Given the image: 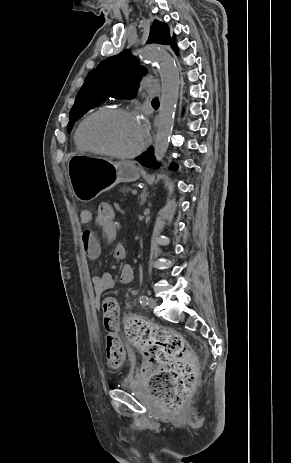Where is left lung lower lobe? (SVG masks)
Here are the masks:
<instances>
[{
	"mask_svg": "<svg viewBox=\"0 0 291 463\" xmlns=\"http://www.w3.org/2000/svg\"><path fill=\"white\" fill-rule=\"evenodd\" d=\"M137 161L140 162L143 166L145 167H150L153 169H157V163L155 162V157H154V149L151 147L146 153L143 155L139 156L137 158ZM174 166L172 165L171 168Z\"/></svg>",
	"mask_w": 291,
	"mask_h": 463,
	"instance_id": "0a47b994",
	"label": "left lung lower lobe"
}]
</instances>
